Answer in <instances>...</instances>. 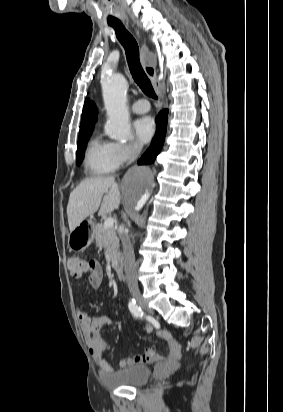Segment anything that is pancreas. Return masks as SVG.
<instances>
[{
    "instance_id": "1",
    "label": "pancreas",
    "mask_w": 283,
    "mask_h": 412,
    "mask_svg": "<svg viewBox=\"0 0 283 412\" xmlns=\"http://www.w3.org/2000/svg\"><path fill=\"white\" fill-rule=\"evenodd\" d=\"M93 235L96 246L104 247L109 253L112 262H114L119 249V240L115 229L113 227L104 228V225L99 223L94 227Z\"/></svg>"
}]
</instances>
